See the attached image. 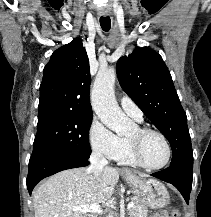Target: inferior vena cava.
Returning <instances> with one entry per match:
<instances>
[{"label": "inferior vena cava", "mask_w": 211, "mask_h": 217, "mask_svg": "<svg viewBox=\"0 0 211 217\" xmlns=\"http://www.w3.org/2000/svg\"><path fill=\"white\" fill-rule=\"evenodd\" d=\"M89 161H90L89 170L92 171L95 178L99 182L103 169L108 165V161L103 156V154L98 150L92 152Z\"/></svg>", "instance_id": "inferior-vena-cava-1"}]
</instances>
